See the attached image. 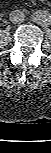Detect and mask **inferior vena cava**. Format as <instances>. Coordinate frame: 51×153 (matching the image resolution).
<instances>
[{"instance_id":"inferior-vena-cava-1","label":"inferior vena cava","mask_w":51,"mask_h":153,"mask_svg":"<svg viewBox=\"0 0 51 153\" xmlns=\"http://www.w3.org/2000/svg\"><path fill=\"white\" fill-rule=\"evenodd\" d=\"M24 19L25 14L21 10H14L9 14V20L14 24H20Z\"/></svg>"}]
</instances>
